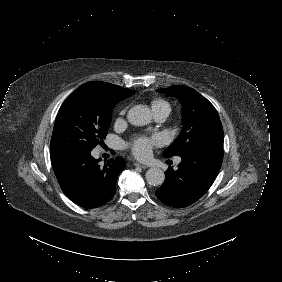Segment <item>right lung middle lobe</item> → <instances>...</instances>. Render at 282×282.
I'll list each match as a JSON object with an SVG mask.
<instances>
[{"mask_svg": "<svg viewBox=\"0 0 282 282\" xmlns=\"http://www.w3.org/2000/svg\"><path fill=\"white\" fill-rule=\"evenodd\" d=\"M110 83L80 86L63 102L51 138L50 156L91 151L106 138L114 105L134 94Z\"/></svg>", "mask_w": 282, "mask_h": 282, "instance_id": "dd1d6c3e", "label": "right lung middle lobe"}]
</instances>
